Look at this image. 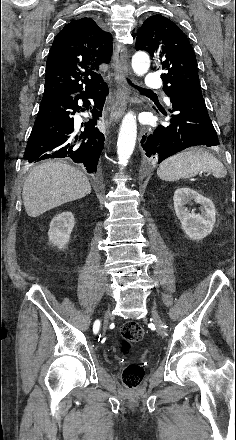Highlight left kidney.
<instances>
[{"label":"left kidney","instance_id":"obj_1","mask_svg":"<svg viewBox=\"0 0 236 440\" xmlns=\"http://www.w3.org/2000/svg\"><path fill=\"white\" fill-rule=\"evenodd\" d=\"M194 200L201 205V214L190 212L186 205ZM174 209L186 235L192 240H201L209 235L216 221L213 202L187 187L176 189L173 196Z\"/></svg>","mask_w":236,"mask_h":440}]
</instances>
